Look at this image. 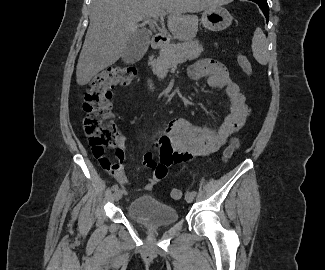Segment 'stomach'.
I'll return each instance as SVG.
<instances>
[{
  "instance_id": "1",
  "label": "stomach",
  "mask_w": 325,
  "mask_h": 270,
  "mask_svg": "<svg viewBox=\"0 0 325 270\" xmlns=\"http://www.w3.org/2000/svg\"><path fill=\"white\" fill-rule=\"evenodd\" d=\"M201 22L210 31H221L231 25V14L222 7H209L203 13Z\"/></svg>"
}]
</instances>
